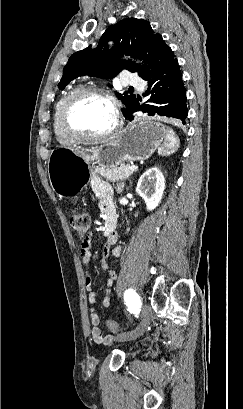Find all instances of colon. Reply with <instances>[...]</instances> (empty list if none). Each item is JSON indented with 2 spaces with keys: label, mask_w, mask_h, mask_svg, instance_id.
<instances>
[{
  "label": "colon",
  "mask_w": 243,
  "mask_h": 409,
  "mask_svg": "<svg viewBox=\"0 0 243 409\" xmlns=\"http://www.w3.org/2000/svg\"><path fill=\"white\" fill-rule=\"evenodd\" d=\"M70 221H71V226L73 227L76 234L80 238L85 239V235L87 233V230L89 228V223H90L88 215L78 210H72L70 214ZM106 326L109 328V330L112 333H116L118 331V325L113 320H107Z\"/></svg>",
  "instance_id": "colon-1"
}]
</instances>
